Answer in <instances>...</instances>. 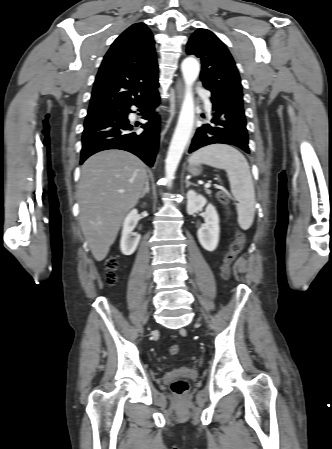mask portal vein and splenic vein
Wrapping results in <instances>:
<instances>
[{"label": "portal vein and splenic vein", "mask_w": 332, "mask_h": 449, "mask_svg": "<svg viewBox=\"0 0 332 449\" xmlns=\"http://www.w3.org/2000/svg\"><path fill=\"white\" fill-rule=\"evenodd\" d=\"M210 186H211L210 183L205 184V188H209Z\"/></svg>", "instance_id": "portal-vein-and-splenic-vein-1"}]
</instances>
